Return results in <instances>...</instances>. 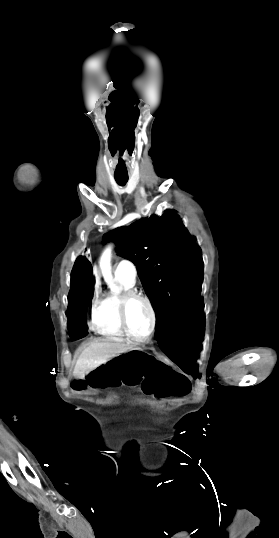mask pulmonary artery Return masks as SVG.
Returning a JSON list of instances; mask_svg holds the SVG:
<instances>
[{"instance_id":"e3ab8cb5","label":"pulmonary artery","mask_w":279,"mask_h":538,"mask_svg":"<svg viewBox=\"0 0 279 538\" xmlns=\"http://www.w3.org/2000/svg\"><path fill=\"white\" fill-rule=\"evenodd\" d=\"M114 272L116 275L124 277L130 283H135L136 280V268L128 260H120L114 265Z\"/></svg>"}]
</instances>
